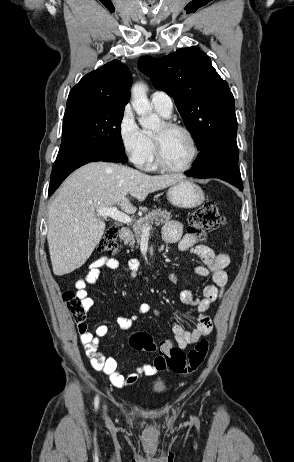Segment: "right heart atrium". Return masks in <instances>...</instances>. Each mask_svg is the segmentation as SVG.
I'll use <instances>...</instances> for the list:
<instances>
[{"mask_svg": "<svg viewBox=\"0 0 294 462\" xmlns=\"http://www.w3.org/2000/svg\"><path fill=\"white\" fill-rule=\"evenodd\" d=\"M117 130L123 152L131 163L141 166L146 155L147 144L144 132L138 126L129 106L123 109Z\"/></svg>", "mask_w": 294, "mask_h": 462, "instance_id": "right-heart-atrium-1", "label": "right heart atrium"}]
</instances>
